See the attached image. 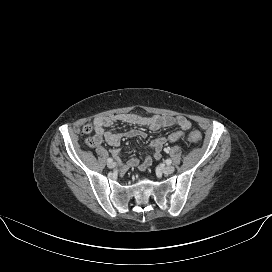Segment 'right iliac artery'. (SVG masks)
<instances>
[{
  "label": "right iliac artery",
  "mask_w": 272,
  "mask_h": 272,
  "mask_svg": "<svg viewBox=\"0 0 272 272\" xmlns=\"http://www.w3.org/2000/svg\"><path fill=\"white\" fill-rule=\"evenodd\" d=\"M107 162H108V163H111V162H113V159H112V158H108V159H107Z\"/></svg>",
  "instance_id": "82829eb1"
}]
</instances>
